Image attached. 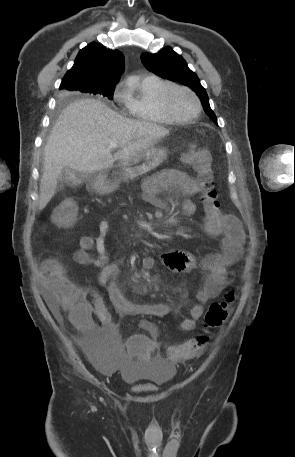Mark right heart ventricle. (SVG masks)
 Segmentation results:
<instances>
[{"label": "right heart ventricle", "mask_w": 295, "mask_h": 457, "mask_svg": "<svg viewBox=\"0 0 295 457\" xmlns=\"http://www.w3.org/2000/svg\"><path fill=\"white\" fill-rule=\"evenodd\" d=\"M167 84L169 82L154 75L132 82L124 95V104L129 115L144 123L174 122L164 113L159 103V94Z\"/></svg>", "instance_id": "obj_1"}]
</instances>
